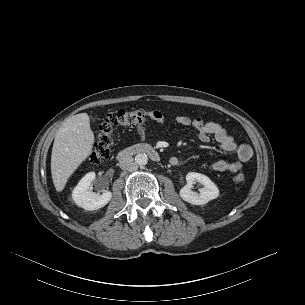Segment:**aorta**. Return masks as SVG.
Listing matches in <instances>:
<instances>
[{
  "instance_id": "1",
  "label": "aorta",
  "mask_w": 305,
  "mask_h": 305,
  "mask_svg": "<svg viewBox=\"0 0 305 305\" xmlns=\"http://www.w3.org/2000/svg\"><path fill=\"white\" fill-rule=\"evenodd\" d=\"M135 162L140 166L145 165L148 162V156L145 153H139L135 156Z\"/></svg>"
}]
</instances>
